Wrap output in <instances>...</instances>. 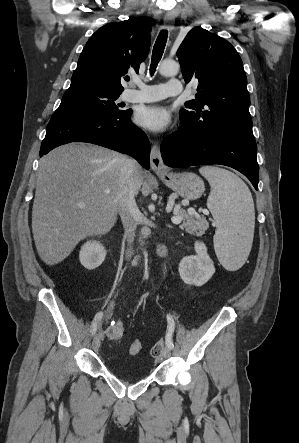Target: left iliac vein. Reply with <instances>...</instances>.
Instances as JSON below:
<instances>
[{
  "label": "left iliac vein",
  "mask_w": 299,
  "mask_h": 443,
  "mask_svg": "<svg viewBox=\"0 0 299 443\" xmlns=\"http://www.w3.org/2000/svg\"><path fill=\"white\" fill-rule=\"evenodd\" d=\"M163 356L165 358H169L171 356V349L169 347H166L164 352H163Z\"/></svg>",
  "instance_id": "obj_1"
}]
</instances>
